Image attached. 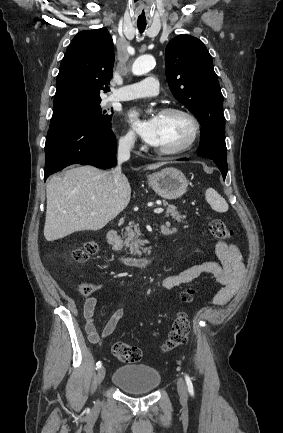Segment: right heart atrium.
Listing matches in <instances>:
<instances>
[{
	"label": "right heart atrium",
	"mask_w": 283,
	"mask_h": 433,
	"mask_svg": "<svg viewBox=\"0 0 283 433\" xmlns=\"http://www.w3.org/2000/svg\"><path fill=\"white\" fill-rule=\"evenodd\" d=\"M119 145L124 149H130L134 145V136L131 132H126L118 138Z\"/></svg>",
	"instance_id": "right-heart-atrium-1"
}]
</instances>
